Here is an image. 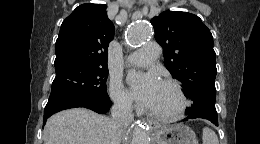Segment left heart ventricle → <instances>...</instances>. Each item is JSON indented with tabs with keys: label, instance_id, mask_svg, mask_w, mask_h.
Returning <instances> with one entry per match:
<instances>
[{
	"label": "left heart ventricle",
	"instance_id": "left-heart-ventricle-1",
	"mask_svg": "<svg viewBox=\"0 0 260 144\" xmlns=\"http://www.w3.org/2000/svg\"><path fill=\"white\" fill-rule=\"evenodd\" d=\"M179 106L178 98L173 89L164 83H160L156 96L150 105V109L157 112H173Z\"/></svg>",
	"mask_w": 260,
	"mask_h": 144
}]
</instances>
